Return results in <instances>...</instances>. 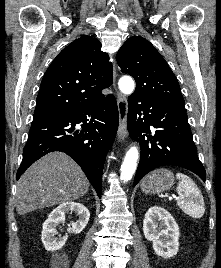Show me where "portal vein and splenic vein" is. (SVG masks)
I'll use <instances>...</instances> for the list:
<instances>
[{
    "label": "portal vein and splenic vein",
    "instance_id": "18ae733b",
    "mask_svg": "<svg viewBox=\"0 0 221 268\" xmlns=\"http://www.w3.org/2000/svg\"><path fill=\"white\" fill-rule=\"evenodd\" d=\"M174 198H176V199H179L178 197H175V196H173ZM170 199H172V197H170Z\"/></svg>",
    "mask_w": 221,
    "mask_h": 268
}]
</instances>
